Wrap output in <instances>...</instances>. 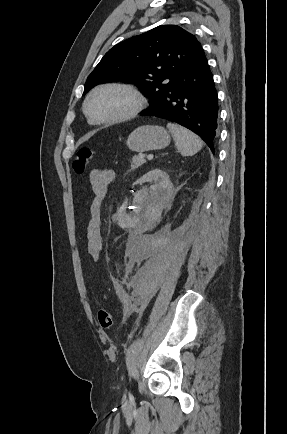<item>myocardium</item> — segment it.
<instances>
[{
    "label": "myocardium",
    "mask_w": 287,
    "mask_h": 434,
    "mask_svg": "<svg viewBox=\"0 0 287 434\" xmlns=\"http://www.w3.org/2000/svg\"><path fill=\"white\" fill-rule=\"evenodd\" d=\"M107 88H118L126 91L133 98V105L125 114L121 116L114 117V118H107V119H96L91 115L89 111L90 101L97 92ZM145 103H146L145 97L137 87L124 82L109 81L95 86L88 93V95L85 98L83 108L86 117L91 123L95 125H111V124H117V123H121L133 119L144 109Z\"/></svg>",
    "instance_id": "f54148a6"
}]
</instances>
